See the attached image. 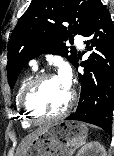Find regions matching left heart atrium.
<instances>
[{
    "mask_svg": "<svg viewBox=\"0 0 114 156\" xmlns=\"http://www.w3.org/2000/svg\"><path fill=\"white\" fill-rule=\"evenodd\" d=\"M57 78L66 89H70L71 86V71L68 65L63 64L60 69Z\"/></svg>",
    "mask_w": 114,
    "mask_h": 156,
    "instance_id": "obj_1",
    "label": "left heart atrium"
}]
</instances>
